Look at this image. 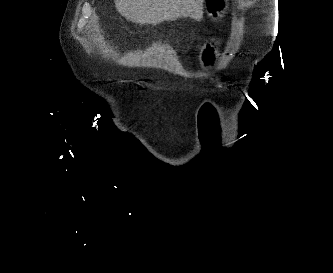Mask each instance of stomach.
I'll return each instance as SVG.
<instances>
[{
    "mask_svg": "<svg viewBox=\"0 0 333 273\" xmlns=\"http://www.w3.org/2000/svg\"><path fill=\"white\" fill-rule=\"evenodd\" d=\"M205 4L208 5L210 11H216V6L218 5L219 10L225 9V4L227 0H205ZM223 35L215 34L214 39H209L208 44H205V56H218L219 51H226L227 45L223 44Z\"/></svg>",
    "mask_w": 333,
    "mask_h": 273,
    "instance_id": "0dacf381",
    "label": "stomach"
}]
</instances>
